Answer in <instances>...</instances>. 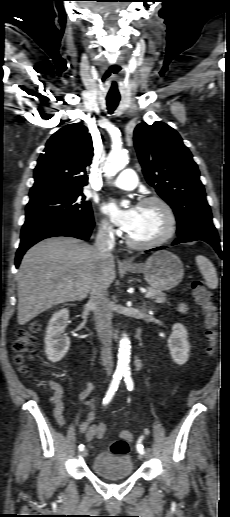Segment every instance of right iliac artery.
Returning a JSON list of instances; mask_svg holds the SVG:
<instances>
[{"label":"right iliac artery","instance_id":"82829eb1","mask_svg":"<svg viewBox=\"0 0 230 517\" xmlns=\"http://www.w3.org/2000/svg\"><path fill=\"white\" fill-rule=\"evenodd\" d=\"M122 374H123V371H116L115 374L113 375V379L111 381V384L109 386V389L103 399V404L106 405L108 404L111 399L113 398L115 392L117 391V388L120 384V380L122 378ZM84 449V445L83 444H80L79 445V450L82 451Z\"/></svg>","mask_w":230,"mask_h":517}]
</instances>
